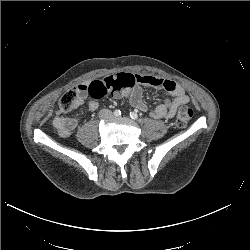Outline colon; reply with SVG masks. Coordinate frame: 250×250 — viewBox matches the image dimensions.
I'll use <instances>...</instances> for the list:
<instances>
[{
	"label": "colon",
	"mask_w": 250,
	"mask_h": 250,
	"mask_svg": "<svg viewBox=\"0 0 250 250\" xmlns=\"http://www.w3.org/2000/svg\"><path fill=\"white\" fill-rule=\"evenodd\" d=\"M88 94L93 99H102L109 94L108 85L102 80H95L90 82L87 88ZM79 99V90L71 89L67 91L59 101L60 109L63 112H70L73 110L77 104ZM193 116V111L189 107H181L175 117V126L177 128H184L190 122Z\"/></svg>",
	"instance_id": "5ec220e1"
}]
</instances>
